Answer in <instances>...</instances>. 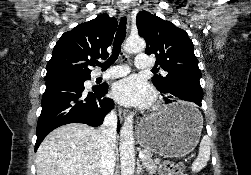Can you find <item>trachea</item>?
I'll return each mask as SVG.
<instances>
[{
    "label": "trachea",
    "instance_id": "3493384b",
    "mask_svg": "<svg viewBox=\"0 0 251 175\" xmlns=\"http://www.w3.org/2000/svg\"><path fill=\"white\" fill-rule=\"evenodd\" d=\"M126 17H122L118 26V30L115 35L114 43H113V51L112 55L108 58V60L104 63H98V65L102 68V70H106L110 67L118 58V55L121 52V45L126 36ZM153 72L158 70L152 69Z\"/></svg>",
    "mask_w": 251,
    "mask_h": 175
}]
</instances>
